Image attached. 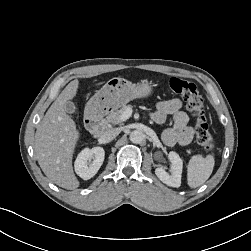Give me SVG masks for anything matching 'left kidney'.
Returning a JSON list of instances; mask_svg holds the SVG:
<instances>
[{"mask_svg":"<svg viewBox=\"0 0 251 251\" xmlns=\"http://www.w3.org/2000/svg\"><path fill=\"white\" fill-rule=\"evenodd\" d=\"M168 158L172 164L171 174L167 173L161 167L155 169V174L167 186L178 188L181 185L183 161L174 151L169 152Z\"/></svg>","mask_w":251,"mask_h":251,"instance_id":"5707ae66","label":"left kidney"}]
</instances>
